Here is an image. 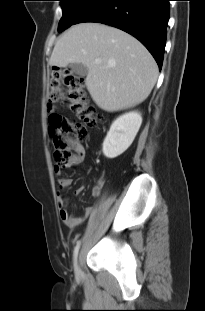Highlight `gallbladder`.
<instances>
[{"mask_svg":"<svg viewBox=\"0 0 205 311\" xmlns=\"http://www.w3.org/2000/svg\"><path fill=\"white\" fill-rule=\"evenodd\" d=\"M70 69H71V72H73V73H75L81 77L86 76L88 73L87 67L81 63L71 64Z\"/></svg>","mask_w":205,"mask_h":311,"instance_id":"1","label":"gallbladder"}]
</instances>
